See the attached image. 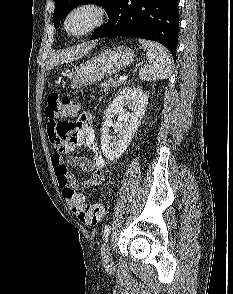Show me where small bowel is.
Here are the masks:
<instances>
[{
  "label": "small bowel",
  "instance_id": "small-bowel-1",
  "mask_svg": "<svg viewBox=\"0 0 233 294\" xmlns=\"http://www.w3.org/2000/svg\"><path fill=\"white\" fill-rule=\"evenodd\" d=\"M47 133L51 145L57 151L51 161L61 188L70 187L77 191L97 187L104 182L105 159L99 151L96 133L88 113L82 114L76 122L63 120V117H50ZM77 148L90 151L91 157L66 158ZM69 168H78L88 176L85 179H78Z\"/></svg>",
  "mask_w": 233,
  "mask_h": 294
}]
</instances>
